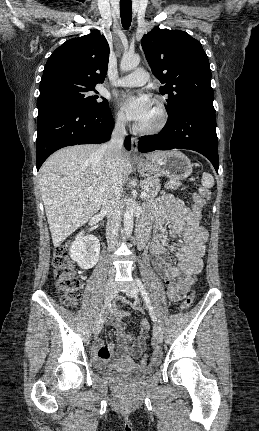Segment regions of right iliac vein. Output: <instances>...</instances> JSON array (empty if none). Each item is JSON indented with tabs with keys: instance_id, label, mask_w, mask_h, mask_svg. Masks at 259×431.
Returning <instances> with one entry per match:
<instances>
[{
	"instance_id": "1",
	"label": "right iliac vein",
	"mask_w": 259,
	"mask_h": 431,
	"mask_svg": "<svg viewBox=\"0 0 259 431\" xmlns=\"http://www.w3.org/2000/svg\"><path fill=\"white\" fill-rule=\"evenodd\" d=\"M116 294V285L113 280V278H110L106 285V291H105V305L109 304L112 299L115 297ZM103 315H100L99 318L96 320L94 325V335L98 336L102 326H103Z\"/></svg>"
}]
</instances>
